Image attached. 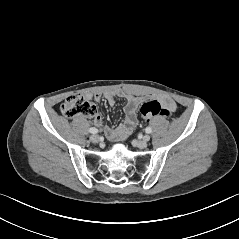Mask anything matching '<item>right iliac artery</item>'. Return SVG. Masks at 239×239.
Here are the masks:
<instances>
[{"label": "right iliac artery", "instance_id": "82829eb1", "mask_svg": "<svg viewBox=\"0 0 239 239\" xmlns=\"http://www.w3.org/2000/svg\"><path fill=\"white\" fill-rule=\"evenodd\" d=\"M89 132L92 133V134H96V133H98V130L96 128H94V127H91L89 129Z\"/></svg>", "mask_w": 239, "mask_h": 239}]
</instances>
